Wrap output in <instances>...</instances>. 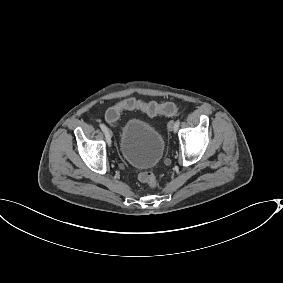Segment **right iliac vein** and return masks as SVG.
<instances>
[{"label": "right iliac vein", "mask_w": 283, "mask_h": 283, "mask_svg": "<svg viewBox=\"0 0 283 283\" xmlns=\"http://www.w3.org/2000/svg\"><path fill=\"white\" fill-rule=\"evenodd\" d=\"M107 131H108V136L111 137L112 136V132L109 129H107Z\"/></svg>", "instance_id": "63e3f726"}]
</instances>
